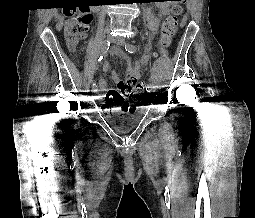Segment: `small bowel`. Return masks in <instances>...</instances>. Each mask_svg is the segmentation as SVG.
Here are the masks:
<instances>
[{
  "mask_svg": "<svg viewBox=\"0 0 255 218\" xmlns=\"http://www.w3.org/2000/svg\"><path fill=\"white\" fill-rule=\"evenodd\" d=\"M157 7L158 13H155L154 7L151 5H149L145 11V17L149 29V41L152 40L158 32L161 18L165 15L170 14L172 9V5L168 4L166 0H159L157 3ZM112 54L126 61L128 67L126 80H121L117 73L114 70L112 71V78L117 84L116 89L108 90L106 80L103 77L99 78L98 88L101 92L107 91V95L102 97L103 103L101 105V107L107 114L116 113L118 108H122L128 105V98L130 97V94L125 91L124 88L126 86H132L138 83L141 78L143 68L149 62V54H145L143 57H141L135 62H131L128 56L117 48L112 50ZM154 55L156 56V54ZM108 69L109 63L105 61L103 64V70L106 72L108 71Z\"/></svg>",
  "mask_w": 255,
  "mask_h": 218,
  "instance_id": "small-bowel-1",
  "label": "small bowel"
}]
</instances>
